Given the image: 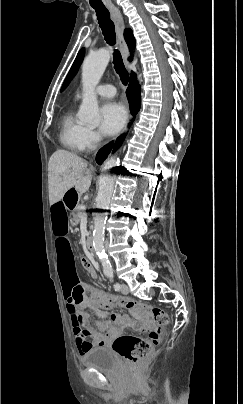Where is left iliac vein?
Returning a JSON list of instances; mask_svg holds the SVG:
<instances>
[{
    "instance_id": "left-iliac-vein-1",
    "label": "left iliac vein",
    "mask_w": 243,
    "mask_h": 404,
    "mask_svg": "<svg viewBox=\"0 0 243 404\" xmlns=\"http://www.w3.org/2000/svg\"><path fill=\"white\" fill-rule=\"evenodd\" d=\"M121 292L125 295H127L129 293V287L127 284H122V289Z\"/></svg>"
}]
</instances>
